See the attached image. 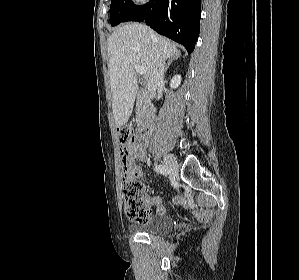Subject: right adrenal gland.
Wrapping results in <instances>:
<instances>
[{"instance_id":"right-adrenal-gland-1","label":"right adrenal gland","mask_w":299,"mask_h":280,"mask_svg":"<svg viewBox=\"0 0 299 280\" xmlns=\"http://www.w3.org/2000/svg\"><path fill=\"white\" fill-rule=\"evenodd\" d=\"M180 57V53H177L176 55H174L172 58L169 59L168 63H167V66H166V70L169 68V66L171 65V63L178 59Z\"/></svg>"}]
</instances>
